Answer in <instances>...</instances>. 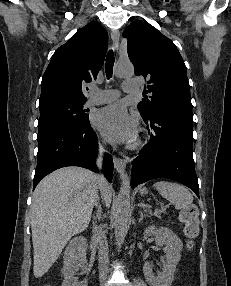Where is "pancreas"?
Here are the masks:
<instances>
[{"instance_id":"obj_1","label":"pancreas","mask_w":231,"mask_h":286,"mask_svg":"<svg viewBox=\"0 0 231 286\" xmlns=\"http://www.w3.org/2000/svg\"><path fill=\"white\" fill-rule=\"evenodd\" d=\"M162 213H166V210L164 208L159 209V210H155L154 215L160 218L161 217L160 215Z\"/></svg>"}]
</instances>
